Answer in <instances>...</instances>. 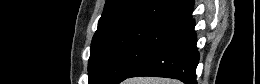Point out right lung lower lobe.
<instances>
[{"label": "right lung lower lobe", "instance_id": "obj_1", "mask_svg": "<svg viewBox=\"0 0 260 84\" xmlns=\"http://www.w3.org/2000/svg\"><path fill=\"white\" fill-rule=\"evenodd\" d=\"M195 21L190 18L129 75L175 78L186 84H196L199 53L196 48Z\"/></svg>", "mask_w": 260, "mask_h": 84}]
</instances>
